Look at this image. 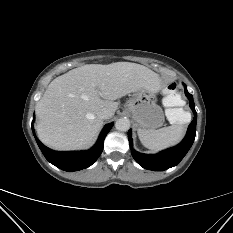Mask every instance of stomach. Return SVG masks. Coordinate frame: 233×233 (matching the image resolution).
Returning <instances> with one entry per match:
<instances>
[{
  "label": "stomach",
  "instance_id": "obj_1",
  "mask_svg": "<svg viewBox=\"0 0 233 233\" xmlns=\"http://www.w3.org/2000/svg\"><path fill=\"white\" fill-rule=\"evenodd\" d=\"M125 111L132 115L133 120L141 129L154 130L164 123V113L153 92L140 88L134 91L125 104Z\"/></svg>",
  "mask_w": 233,
  "mask_h": 233
}]
</instances>
